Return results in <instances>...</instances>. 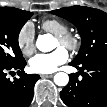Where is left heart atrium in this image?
<instances>
[{
    "label": "left heart atrium",
    "instance_id": "left-heart-atrium-1",
    "mask_svg": "<svg viewBox=\"0 0 107 107\" xmlns=\"http://www.w3.org/2000/svg\"><path fill=\"white\" fill-rule=\"evenodd\" d=\"M68 52L59 47L51 53L38 54L30 61L31 69L36 73L49 74L68 60Z\"/></svg>",
    "mask_w": 107,
    "mask_h": 107
}]
</instances>
